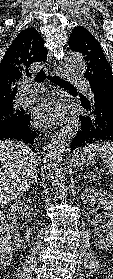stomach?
I'll return each instance as SVG.
<instances>
[{
    "label": "stomach",
    "instance_id": "1",
    "mask_svg": "<svg viewBox=\"0 0 113 279\" xmlns=\"http://www.w3.org/2000/svg\"><path fill=\"white\" fill-rule=\"evenodd\" d=\"M97 153L95 151L86 150L85 148L78 150L75 154L74 160L80 166H87L94 163Z\"/></svg>",
    "mask_w": 113,
    "mask_h": 279
}]
</instances>
